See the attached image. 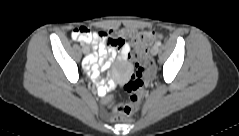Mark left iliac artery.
<instances>
[{
    "label": "left iliac artery",
    "instance_id": "1",
    "mask_svg": "<svg viewBox=\"0 0 239 136\" xmlns=\"http://www.w3.org/2000/svg\"><path fill=\"white\" fill-rule=\"evenodd\" d=\"M156 45H157V46H161V42H160V41H157V42H156Z\"/></svg>",
    "mask_w": 239,
    "mask_h": 136
}]
</instances>
